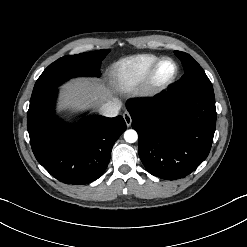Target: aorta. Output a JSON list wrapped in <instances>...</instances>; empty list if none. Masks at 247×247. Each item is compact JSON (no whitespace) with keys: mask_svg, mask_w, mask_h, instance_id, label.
I'll list each match as a JSON object with an SVG mask.
<instances>
[{"mask_svg":"<svg viewBox=\"0 0 247 247\" xmlns=\"http://www.w3.org/2000/svg\"><path fill=\"white\" fill-rule=\"evenodd\" d=\"M124 139L128 143H134L138 139L137 132L133 129L126 130L124 132Z\"/></svg>","mask_w":247,"mask_h":247,"instance_id":"aorta-1","label":"aorta"}]
</instances>
